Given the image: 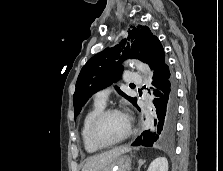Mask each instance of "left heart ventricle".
Listing matches in <instances>:
<instances>
[{
	"label": "left heart ventricle",
	"mask_w": 223,
	"mask_h": 171,
	"mask_svg": "<svg viewBox=\"0 0 223 171\" xmlns=\"http://www.w3.org/2000/svg\"><path fill=\"white\" fill-rule=\"evenodd\" d=\"M127 120L121 114L106 116L98 126L97 135L104 142H114L127 131Z\"/></svg>",
	"instance_id": "b2bd125f"
}]
</instances>
